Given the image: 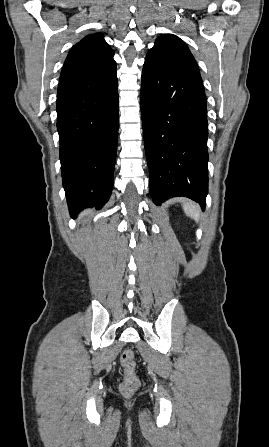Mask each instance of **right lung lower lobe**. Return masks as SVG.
I'll return each mask as SVG.
<instances>
[{"instance_id": "obj_1", "label": "right lung lower lobe", "mask_w": 269, "mask_h": 447, "mask_svg": "<svg viewBox=\"0 0 269 447\" xmlns=\"http://www.w3.org/2000/svg\"><path fill=\"white\" fill-rule=\"evenodd\" d=\"M117 86L116 65L59 82L60 161L72 216L84 208H101L111 195L118 139Z\"/></svg>"}]
</instances>
